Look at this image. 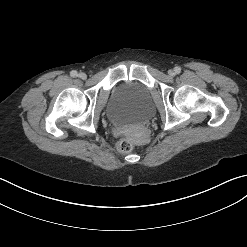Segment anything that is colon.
Returning <instances> with one entry per match:
<instances>
[{
  "label": "colon",
  "instance_id": "1",
  "mask_svg": "<svg viewBox=\"0 0 247 247\" xmlns=\"http://www.w3.org/2000/svg\"><path fill=\"white\" fill-rule=\"evenodd\" d=\"M133 148L134 141L129 137L123 138L117 146V149L120 153H129L133 150Z\"/></svg>",
  "mask_w": 247,
  "mask_h": 247
}]
</instances>
